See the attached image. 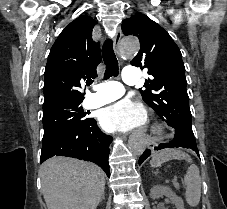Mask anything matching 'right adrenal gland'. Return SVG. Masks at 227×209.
<instances>
[{
	"mask_svg": "<svg viewBox=\"0 0 227 209\" xmlns=\"http://www.w3.org/2000/svg\"><path fill=\"white\" fill-rule=\"evenodd\" d=\"M102 199H105V197H102ZM102 199H100V201H102Z\"/></svg>",
	"mask_w": 227,
	"mask_h": 209,
	"instance_id": "obj_1",
	"label": "right adrenal gland"
}]
</instances>
